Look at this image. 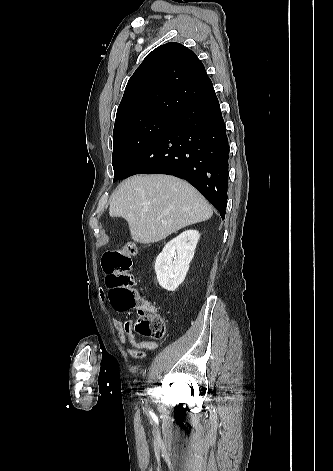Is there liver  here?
Segmentation results:
<instances>
[{"instance_id":"1","label":"liver","mask_w":333,"mask_h":471,"mask_svg":"<svg viewBox=\"0 0 333 471\" xmlns=\"http://www.w3.org/2000/svg\"><path fill=\"white\" fill-rule=\"evenodd\" d=\"M109 214L128 222L134 241L150 244L211 218L213 210L189 183L174 176L136 175L110 198Z\"/></svg>"}]
</instances>
